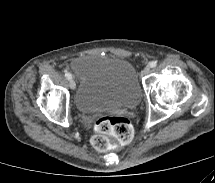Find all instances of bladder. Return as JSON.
<instances>
[{"mask_svg":"<svg viewBox=\"0 0 215 183\" xmlns=\"http://www.w3.org/2000/svg\"><path fill=\"white\" fill-rule=\"evenodd\" d=\"M71 67L80 79L74 99L80 112L133 108L139 104L138 77L128 60L94 53L74 58Z\"/></svg>","mask_w":215,"mask_h":183,"instance_id":"bladder-1","label":"bladder"}]
</instances>
